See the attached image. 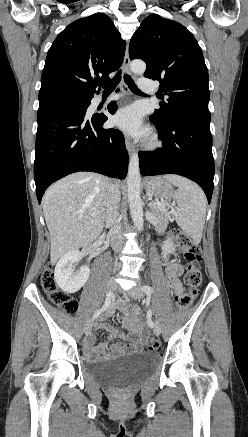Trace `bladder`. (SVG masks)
<instances>
[{
    "mask_svg": "<svg viewBox=\"0 0 248 437\" xmlns=\"http://www.w3.org/2000/svg\"><path fill=\"white\" fill-rule=\"evenodd\" d=\"M155 352L127 353L88 365V374L100 383L126 385L150 373L156 365Z\"/></svg>",
    "mask_w": 248,
    "mask_h": 437,
    "instance_id": "bladder-1",
    "label": "bladder"
}]
</instances>
